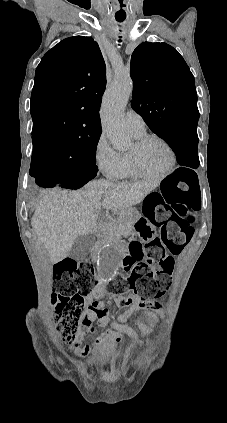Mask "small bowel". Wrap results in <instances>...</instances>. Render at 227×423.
<instances>
[{
	"instance_id": "small-bowel-1",
	"label": "small bowel",
	"mask_w": 227,
	"mask_h": 423,
	"mask_svg": "<svg viewBox=\"0 0 227 423\" xmlns=\"http://www.w3.org/2000/svg\"><path fill=\"white\" fill-rule=\"evenodd\" d=\"M143 219L141 222H145ZM106 294V291L99 283L94 290L87 295V310L82 318L81 324L84 331H93V323L96 322L99 326H106L111 324L112 329L104 332L98 337L94 345L103 346L106 349H113L117 344L122 342L121 332H125L132 338H135L134 332L124 325L127 319L135 312L143 308L161 309L163 303L157 300L143 301L137 295L130 293L125 296H115L113 298L119 307H127V310L116 317H111L110 311L105 307L102 298ZM152 320L155 318L152 316ZM83 337V332L79 333L75 341V349L82 355H86L90 350L91 346L87 345L80 347V342Z\"/></svg>"
}]
</instances>
